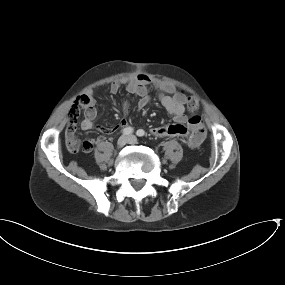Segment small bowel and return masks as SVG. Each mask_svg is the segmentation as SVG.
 <instances>
[{"label": "small bowel", "instance_id": "c3829d8e", "mask_svg": "<svg viewBox=\"0 0 285 285\" xmlns=\"http://www.w3.org/2000/svg\"><path fill=\"white\" fill-rule=\"evenodd\" d=\"M125 83L126 90L139 98L138 106L144 108L150 103V96L148 87L153 84L156 88L166 90L170 94L160 93L159 101L162 106L174 117V123L170 125L158 126L151 129L152 136L156 138L165 137H182L184 144L190 148L195 149L199 147L206 137V129L203 125V120L199 115L185 116L187 97L182 92H173L172 86L162 82L156 77L139 74L126 82L114 81L109 86V92L111 94H117L121 88V85ZM85 94L91 97L94 101V91L89 88L85 90ZM130 104L124 102L123 110L127 113ZM96 111L94 108L89 109L86 112V117L82 122V127L86 130H97L101 133H113L120 129L127 128L126 119H121L112 128H106L102 125L94 123ZM72 125L71 129L69 126ZM76 130V124L69 122L65 131V143L67 150L71 153L85 152L88 153L92 150L95 139L89 138L83 142L77 143L74 140V133Z\"/></svg>", "mask_w": 285, "mask_h": 285}]
</instances>
